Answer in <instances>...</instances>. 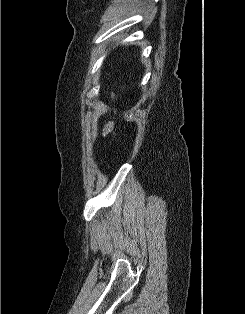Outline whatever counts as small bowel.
Listing matches in <instances>:
<instances>
[{"instance_id": "1", "label": "small bowel", "mask_w": 245, "mask_h": 314, "mask_svg": "<svg viewBox=\"0 0 245 314\" xmlns=\"http://www.w3.org/2000/svg\"><path fill=\"white\" fill-rule=\"evenodd\" d=\"M115 132V126L113 122H108L103 130L105 136L111 135Z\"/></svg>"}]
</instances>
